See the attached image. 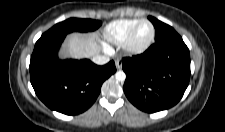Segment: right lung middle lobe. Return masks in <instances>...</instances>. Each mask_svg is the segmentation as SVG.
Wrapping results in <instances>:
<instances>
[{
  "instance_id": "dd1d6c3e",
  "label": "right lung middle lobe",
  "mask_w": 225,
  "mask_h": 132,
  "mask_svg": "<svg viewBox=\"0 0 225 132\" xmlns=\"http://www.w3.org/2000/svg\"><path fill=\"white\" fill-rule=\"evenodd\" d=\"M101 22L93 19L70 18L61 23L56 24L49 29L46 34L59 33L68 34L73 31L88 32L94 31L101 26Z\"/></svg>"
}]
</instances>
